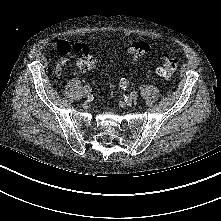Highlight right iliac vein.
<instances>
[{"label":"right iliac vein","instance_id":"1","mask_svg":"<svg viewBox=\"0 0 221 221\" xmlns=\"http://www.w3.org/2000/svg\"><path fill=\"white\" fill-rule=\"evenodd\" d=\"M89 94H90V91H88L87 89H83V93H82L83 97H87Z\"/></svg>","mask_w":221,"mask_h":221}]
</instances>
